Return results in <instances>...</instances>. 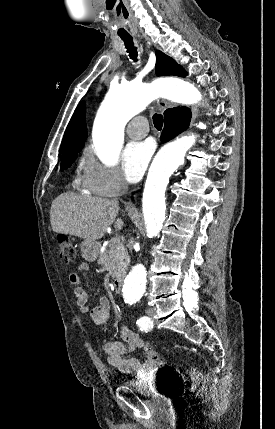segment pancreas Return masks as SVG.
Wrapping results in <instances>:
<instances>
[{"label": "pancreas", "instance_id": "1", "mask_svg": "<svg viewBox=\"0 0 275 429\" xmlns=\"http://www.w3.org/2000/svg\"><path fill=\"white\" fill-rule=\"evenodd\" d=\"M126 253L120 241H111L104 252L99 254L98 263L107 269L112 277L125 268Z\"/></svg>", "mask_w": 275, "mask_h": 429}]
</instances>
